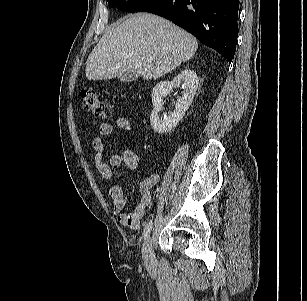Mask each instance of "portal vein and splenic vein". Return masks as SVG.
I'll return each mask as SVG.
<instances>
[{"instance_id":"18ae733b","label":"portal vein and splenic vein","mask_w":307,"mask_h":301,"mask_svg":"<svg viewBox=\"0 0 307 301\" xmlns=\"http://www.w3.org/2000/svg\"><path fill=\"white\" fill-rule=\"evenodd\" d=\"M147 62H151L152 59L151 58H146Z\"/></svg>"}]
</instances>
